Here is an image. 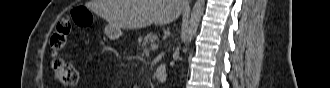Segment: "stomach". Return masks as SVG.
<instances>
[{
  "instance_id": "obj_1",
  "label": "stomach",
  "mask_w": 330,
  "mask_h": 88,
  "mask_svg": "<svg viewBox=\"0 0 330 88\" xmlns=\"http://www.w3.org/2000/svg\"><path fill=\"white\" fill-rule=\"evenodd\" d=\"M112 27H116V26L110 25V26L108 27L110 31H112V30H111ZM116 28H118V27H116ZM110 34H113V33L111 32Z\"/></svg>"
}]
</instances>
